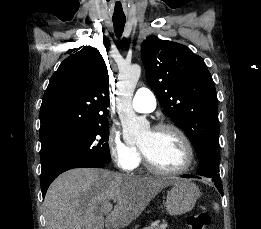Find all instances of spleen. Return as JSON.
<instances>
[{"instance_id": "spleen-1", "label": "spleen", "mask_w": 261, "mask_h": 229, "mask_svg": "<svg viewBox=\"0 0 261 229\" xmlns=\"http://www.w3.org/2000/svg\"><path fill=\"white\" fill-rule=\"evenodd\" d=\"M213 209H215V211H219V205H218V203H214Z\"/></svg>"}]
</instances>
